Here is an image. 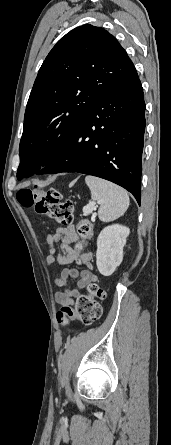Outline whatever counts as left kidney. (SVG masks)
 I'll list each match as a JSON object with an SVG mask.
<instances>
[{"label": "left kidney", "instance_id": "1", "mask_svg": "<svg viewBox=\"0 0 171 445\" xmlns=\"http://www.w3.org/2000/svg\"><path fill=\"white\" fill-rule=\"evenodd\" d=\"M130 230L128 227L113 224L105 227L97 238L96 264L99 272L110 276L123 260V247Z\"/></svg>", "mask_w": 171, "mask_h": 445}]
</instances>
